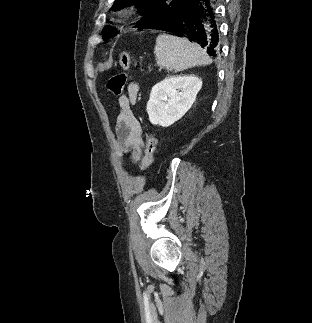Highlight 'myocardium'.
Returning a JSON list of instances; mask_svg holds the SVG:
<instances>
[{
	"label": "myocardium",
	"mask_w": 312,
	"mask_h": 323,
	"mask_svg": "<svg viewBox=\"0 0 312 323\" xmlns=\"http://www.w3.org/2000/svg\"><path fill=\"white\" fill-rule=\"evenodd\" d=\"M115 15L118 17H127V19H130L132 15H136V12H132V10H118L115 12Z\"/></svg>",
	"instance_id": "1"
}]
</instances>
